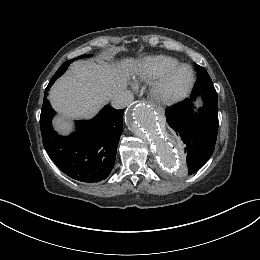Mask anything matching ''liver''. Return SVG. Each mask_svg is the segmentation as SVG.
Returning a JSON list of instances; mask_svg holds the SVG:
<instances>
[{
	"instance_id": "6515ba94",
	"label": "liver",
	"mask_w": 260,
	"mask_h": 260,
	"mask_svg": "<svg viewBox=\"0 0 260 260\" xmlns=\"http://www.w3.org/2000/svg\"><path fill=\"white\" fill-rule=\"evenodd\" d=\"M137 66L135 59L124 60L117 66L103 60L74 62L48 95L52 107L61 115L53 121L55 130L61 134L70 133L72 123L64 117H93L116 93L126 89Z\"/></svg>"
}]
</instances>
